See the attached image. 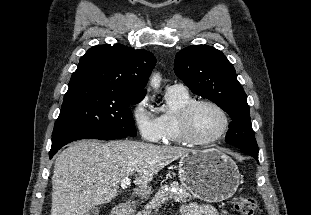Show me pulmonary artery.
<instances>
[{"instance_id":"1","label":"pulmonary artery","mask_w":311,"mask_h":215,"mask_svg":"<svg viewBox=\"0 0 311 215\" xmlns=\"http://www.w3.org/2000/svg\"><path fill=\"white\" fill-rule=\"evenodd\" d=\"M168 90H178V91H187L185 85L181 82H175L172 83L169 87Z\"/></svg>"}]
</instances>
